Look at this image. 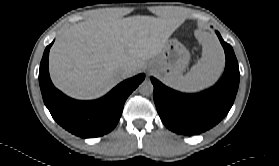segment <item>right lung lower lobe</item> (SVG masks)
Here are the masks:
<instances>
[{"label":"right lung lower lobe","mask_w":279,"mask_h":166,"mask_svg":"<svg viewBox=\"0 0 279 166\" xmlns=\"http://www.w3.org/2000/svg\"><path fill=\"white\" fill-rule=\"evenodd\" d=\"M52 44L46 47L39 70L43 100L52 117L67 131L83 138L107 134L117 125L126 99L144 80L145 74L123 81L101 99L74 100L57 90L50 80L48 55Z\"/></svg>","instance_id":"1"}]
</instances>
